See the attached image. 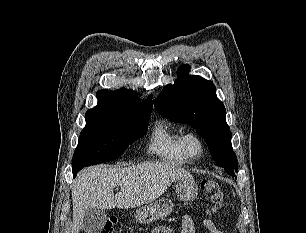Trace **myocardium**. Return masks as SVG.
Masks as SVG:
<instances>
[{
  "label": "myocardium",
  "instance_id": "obj_1",
  "mask_svg": "<svg viewBox=\"0 0 306 233\" xmlns=\"http://www.w3.org/2000/svg\"><path fill=\"white\" fill-rule=\"evenodd\" d=\"M194 141L198 145V151L196 153H192L190 151V143ZM182 149L184 156L189 160H196L200 158L204 151H205V145L202 137L196 133V132H188L183 135L182 138Z\"/></svg>",
  "mask_w": 306,
  "mask_h": 233
}]
</instances>
